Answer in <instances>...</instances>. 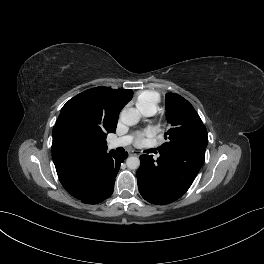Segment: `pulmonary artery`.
<instances>
[{
  "instance_id": "obj_1",
  "label": "pulmonary artery",
  "mask_w": 264,
  "mask_h": 264,
  "mask_svg": "<svg viewBox=\"0 0 264 264\" xmlns=\"http://www.w3.org/2000/svg\"><path fill=\"white\" fill-rule=\"evenodd\" d=\"M144 116H151L154 114V111L152 110H145L141 112ZM132 141V137L127 135V136H122L119 138H116L114 140H112L109 143V147L110 148H117V147H124L127 146L128 144H130Z\"/></svg>"
}]
</instances>
